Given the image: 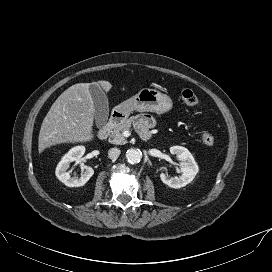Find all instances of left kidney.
<instances>
[{
    "label": "left kidney",
    "mask_w": 272,
    "mask_h": 272,
    "mask_svg": "<svg viewBox=\"0 0 272 272\" xmlns=\"http://www.w3.org/2000/svg\"><path fill=\"white\" fill-rule=\"evenodd\" d=\"M171 154L176 155L180 161L182 176L169 178L164 173L160 174L161 181L171 188H181L189 184L197 175L199 168L194 157L188 149L182 146H172Z\"/></svg>",
    "instance_id": "left-kidney-1"
}]
</instances>
